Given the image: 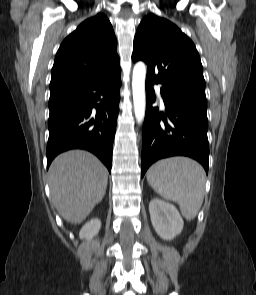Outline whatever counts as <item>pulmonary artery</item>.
<instances>
[{
    "label": "pulmonary artery",
    "mask_w": 256,
    "mask_h": 295,
    "mask_svg": "<svg viewBox=\"0 0 256 295\" xmlns=\"http://www.w3.org/2000/svg\"><path fill=\"white\" fill-rule=\"evenodd\" d=\"M155 88H156V91H157V93H158V95L160 97V100L163 102V99H162V96H161V92H160V86H155Z\"/></svg>",
    "instance_id": "1"
}]
</instances>
